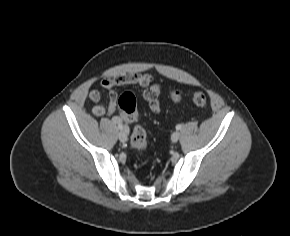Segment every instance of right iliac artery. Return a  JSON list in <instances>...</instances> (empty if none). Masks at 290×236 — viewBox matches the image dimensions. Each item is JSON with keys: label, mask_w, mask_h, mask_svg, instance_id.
I'll return each instance as SVG.
<instances>
[{"label": "right iliac artery", "mask_w": 290, "mask_h": 236, "mask_svg": "<svg viewBox=\"0 0 290 236\" xmlns=\"http://www.w3.org/2000/svg\"><path fill=\"white\" fill-rule=\"evenodd\" d=\"M118 128L122 129L123 128L122 124L118 123Z\"/></svg>", "instance_id": "obj_1"}]
</instances>
